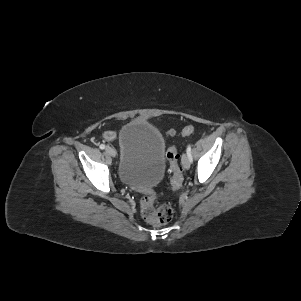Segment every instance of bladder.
I'll return each mask as SVG.
<instances>
[{"label":"bladder","instance_id":"31cf9c89","mask_svg":"<svg viewBox=\"0 0 301 301\" xmlns=\"http://www.w3.org/2000/svg\"><path fill=\"white\" fill-rule=\"evenodd\" d=\"M120 180L134 187H152L164 175L166 144L160 131L150 122L134 120L119 133Z\"/></svg>","mask_w":301,"mask_h":301}]
</instances>
